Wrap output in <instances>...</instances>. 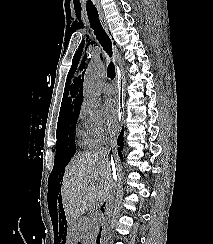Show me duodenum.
Returning <instances> with one entry per match:
<instances>
[{
	"label": "duodenum",
	"instance_id": "obj_1",
	"mask_svg": "<svg viewBox=\"0 0 213 244\" xmlns=\"http://www.w3.org/2000/svg\"><path fill=\"white\" fill-rule=\"evenodd\" d=\"M101 217L103 220L106 219V217H107V211L106 210L103 209L101 211ZM103 235H104V230H103V228H100L96 233L95 244H103V241H102Z\"/></svg>",
	"mask_w": 213,
	"mask_h": 244
}]
</instances>
